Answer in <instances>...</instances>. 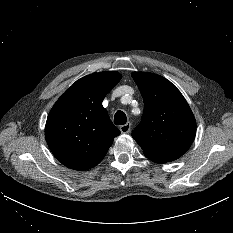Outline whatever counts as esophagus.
I'll use <instances>...</instances> for the list:
<instances>
[{
  "mask_svg": "<svg viewBox=\"0 0 233 233\" xmlns=\"http://www.w3.org/2000/svg\"><path fill=\"white\" fill-rule=\"evenodd\" d=\"M130 130H131V123H129V122L120 126V131L123 134L129 133Z\"/></svg>",
  "mask_w": 233,
  "mask_h": 233,
  "instance_id": "1",
  "label": "esophagus"
}]
</instances>
